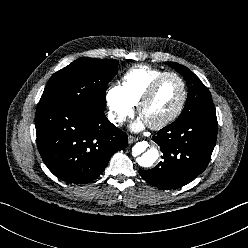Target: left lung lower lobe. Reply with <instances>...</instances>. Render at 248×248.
I'll use <instances>...</instances> for the list:
<instances>
[{
	"instance_id": "obj_1",
	"label": "left lung lower lobe",
	"mask_w": 248,
	"mask_h": 248,
	"mask_svg": "<svg viewBox=\"0 0 248 248\" xmlns=\"http://www.w3.org/2000/svg\"><path fill=\"white\" fill-rule=\"evenodd\" d=\"M216 137V113L174 121L152 138L160 146L162 161L153 169L139 170V174L160 189L182 187L207 167Z\"/></svg>"
}]
</instances>
